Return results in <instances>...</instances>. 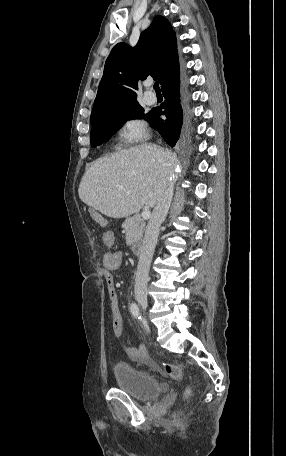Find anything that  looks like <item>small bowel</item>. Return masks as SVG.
I'll return each instance as SVG.
<instances>
[{
  "instance_id": "1",
  "label": "small bowel",
  "mask_w": 286,
  "mask_h": 456,
  "mask_svg": "<svg viewBox=\"0 0 286 456\" xmlns=\"http://www.w3.org/2000/svg\"><path fill=\"white\" fill-rule=\"evenodd\" d=\"M103 241L106 245H113L114 235L112 232L107 231L103 235ZM124 260V252H107L103 256L102 260V276L105 280L108 295L111 302V312H112V330L117 337H120L123 333L124 325L123 319L118 306V295L115 287V279L113 271L120 268ZM126 354L132 359L138 361L135 357V352L138 350H145V347L142 345H137L134 347H125Z\"/></svg>"
}]
</instances>
